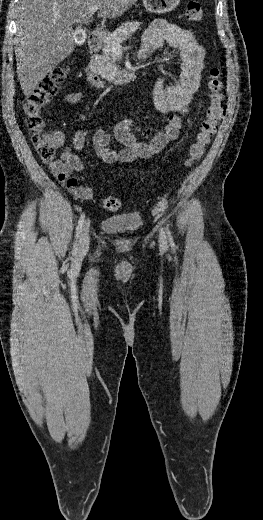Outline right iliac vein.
<instances>
[{"label":"right iliac vein","instance_id":"obj_1","mask_svg":"<svg viewBox=\"0 0 263 520\" xmlns=\"http://www.w3.org/2000/svg\"><path fill=\"white\" fill-rule=\"evenodd\" d=\"M89 228H90V221L87 220L84 223V226L81 230V234H80V238H79V246H78L79 255H85L89 249V242H90Z\"/></svg>","mask_w":263,"mask_h":520}]
</instances>
